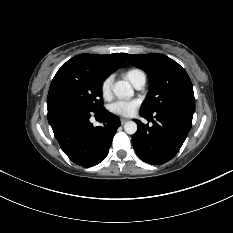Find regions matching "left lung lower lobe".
<instances>
[{"mask_svg":"<svg viewBox=\"0 0 233 233\" xmlns=\"http://www.w3.org/2000/svg\"><path fill=\"white\" fill-rule=\"evenodd\" d=\"M140 115L152 120L144 111ZM151 127L135 120L138 125L132 144L137 156L146 163L161 165L171 160L184 143L192 126L193 116L178 111L154 113Z\"/></svg>","mask_w":233,"mask_h":233,"instance_id":"0a47b994","label":"left lung lower lobe"}]
</instances>
